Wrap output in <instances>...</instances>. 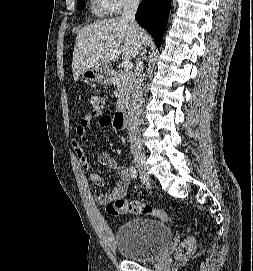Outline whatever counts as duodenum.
I'll return each mask as SVG.
<instances>
[{
  "label": "duodenum",
  "mask_w": 253,
  "mask_h": 271,
  "mask_svg": "<svg viewBox=\"0 0 253 271\" xmlns=\"http://www.w3.org/2000/svg\"><path fill=\"white\" fill-rule=\"evenodd\" d=\"M114 124L117 128H125L128 124V113L125 108H119L113 117Z\"/></svg>",
  "instance_id": "obj_1"
}]
</instances>
